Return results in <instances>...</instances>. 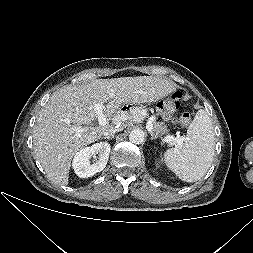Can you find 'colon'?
<instances>
[{
  "instance_id": "obj_1",
  "label": "colon",
  "mask_w": 253,
  "mask_h": 253,
  "mask_svg": "<svg viewBox=\"0 0 253 253\" xmlns=\"http://www.w3.org/2000/svg\"><path fill=\"white\" fill-rule=\"evenodd\" d=\"M183 96V92L182 91H176L174 92L167 100V111H173L175 110L178 105L179 102L181 100ZM179 122L181 125L183 126H187L190 122V115L189 113H183L180 118H179Z\"/></svg>"
}]
</instances>
